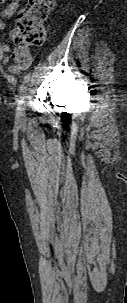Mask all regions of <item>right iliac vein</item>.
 <instances>
[{
  "mask_svg": "<svg viewBox=\"0 0 127 303\" xmlns=\"http://www.w3.org/2000/svg\"><path fill=\"white\" fill-rule=\"evenodd\" d=\"M25 107H26V97H24L18 104L16 119L18 122H23L25 119Z\"/></svg>",
  "mask_w": 127,
  "mask_h": 303,
  "instance_id": "63e3f726",
  "label": "right iliac vein"
}]
</instances>
